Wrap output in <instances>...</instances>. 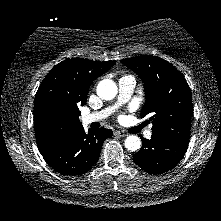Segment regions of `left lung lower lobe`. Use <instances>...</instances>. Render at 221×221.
I'll use <instances>...</instances> for the list:
<instances>
[{
  "instance_id": "0a47b994",
  "label": "left lung lower lobe",
  "mask_w": 221,
  "mask_h": 221,
  "mask_svg": "<svg viewBox=\"0 0 221 221\" xmlns=\"http://www.w3.org/2000/svg\"><path fill=\"white\" fill-rule=\"evenodd\" d=\"M188 144L152 135L142 138V148L133 155L134 162L150 174H161L173 169L185 155Z\"/></svg>"
}]
</instances>
